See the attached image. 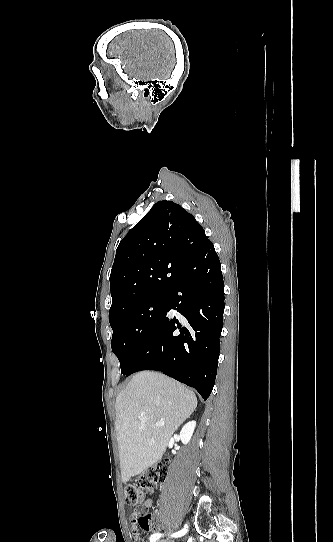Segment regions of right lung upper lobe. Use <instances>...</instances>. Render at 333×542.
Returning <instances> with one entry per match:
<instances>
[{
    "label": "right lung upper lobe",
    "instance_id": "obj_1",
    "mask_svg": "<svg viewBox=\"0 0 333 542\" xmlns=\"http://www.w3.org/2000/svg\"><path fill=\"white\" fill-rule=\"evenodd\" d=\"M210 242L193 215L172 201H159L122 239L110 275L109 319L154 301L182 279L180 252Z\"/></svg>",
    "mask_w": 333,
    "mask_h": 542
}]
</instances>
